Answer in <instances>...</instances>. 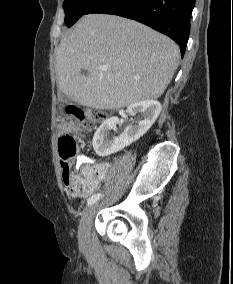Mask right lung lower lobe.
I'll return each mask as SVG.
<instances>
[{"instance_id": "98d812e1", "label": "right lung lower lobe", "mask_w": 233, "mask_h": 284, "mask_svg": "<svg viewBox=\"0 0 233 284\" xmlns=\"http://www.w3.org/2000/svg\"><path fill=\"white\" fill-rule=\"evenodd\" d=\"M195 0H108L92 13L123 16L146 24L175 40L185 53Z\"/></svg>"}]
</instances>
